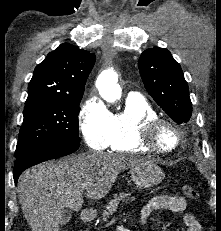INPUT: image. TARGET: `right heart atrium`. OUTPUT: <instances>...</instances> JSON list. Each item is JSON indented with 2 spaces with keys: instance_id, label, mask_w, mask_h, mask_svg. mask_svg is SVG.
<instances>
[{
  "instance_id": "right-heart-atrium-1",
  "label": "right heart atrium",
  "mask_w": 221,
  "mask_h": 231,
  "mask_svg": "<svg viewBox=\"0 0 221 231\" xmlns=\"http://www.w3.org/2000/svg\"><path fill=\"white\" fill-rule=\"evenodd\" d=\"M112 113L96 96H90L82 105L79 113V128L85 143L94 150L104 149L107 145Z\"/></svg>"
}]
</instances>
